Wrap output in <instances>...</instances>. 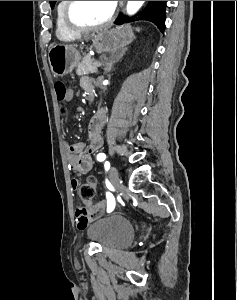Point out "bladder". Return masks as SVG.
Wrapping results in <instances>:
<instances>
[{"label": "bladder", "instance_id": "bladder-1", "mask_svg": "<svg viewBox=\"0 0 237 300\" xmlns=\"http://www.w3.org/2000/svg\"><path fill=\"white\" fill-rule=\"evenodd\" d=\"M86 236L104 249H117L132 241L134 229L126 218L108 215L91 222L86 228Z\"/></svg>", "mask_w": 237, "mask_h": 300}]
</instances>
